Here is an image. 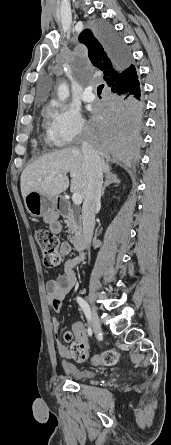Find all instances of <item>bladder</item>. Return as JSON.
<instances>
[{
  "mask_svg": "<svg viewBox=\"0 0 171 445\" xmlns=\"http://www.w3.org/2000/svg\"><path fill=\"white\" fill-rule=\"evenodd\" d=\"M68 373L77 380H87L94 376V372L87 369H78L73 366L68 367Z\"/></svg>",
  "mask_w": 171,
  "mask_h": 445,
  "instance_id": "bladder-1",
  "label": "bladder"
}]
</instances>
